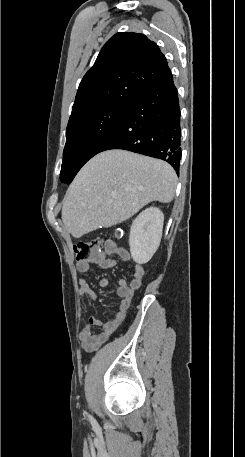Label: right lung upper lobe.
Here are the masks:
<instances>
[{"label": "right lung upper lobe", "mask_w": 245, "mask_h": 457, "mask_svg": "<svg viewBox=\"0 0 245 457\" xmlns=\"http://www.w3.org/2000/svg\"><path fill=\"white\" fill-rule=\"evenodd\" d=\"M171 76L167 60L154 42L143 34L117 33L83 77L70 118L115 101L133 103L147 88Z\"/></svg>", "instance_id": "1"}]
</instances>
